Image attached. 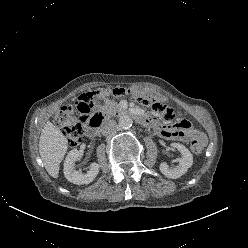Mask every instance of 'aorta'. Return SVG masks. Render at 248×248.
<instances>
[{
  "instance_id": "762f6f07",
  "label": "aorta",
  "mask_w": 248,
  "mask_h": 248,
  "mask_svg": "<svg viewBox=\"0 0 248 248\" xmlns=\"http://www.w3.org/2000/svg\"><path fill=\"white\" fill-rule=\"evenodd\" d=\"M132 118L128 115H122L119 118V125L123 129H128L132 126Z\"/></svg>"
}]
</instances>
